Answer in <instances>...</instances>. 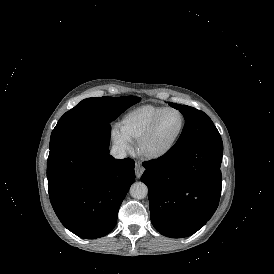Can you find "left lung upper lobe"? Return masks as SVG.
Returning <instances> with one entry per match:
<instances>
[{
  "label": "left lung upper lobe",
  "instance_id": "left-lung-upper-lobe-1",
  "mask_svg": "<svg viewBox=\"0 0 274 274\" xmlns=\"http://www.w3.org/2000/svg\"><path fill=\"white\" fill-rule=\"evenodd\" d=\"M169 104L178 109L185 117L184 129L172 149H179L203 140L221 139L212 120L204 112L186 105Z\"/></svg>",
  "mask_w": 274,
  "mask_h": 274
}]
</instances>
